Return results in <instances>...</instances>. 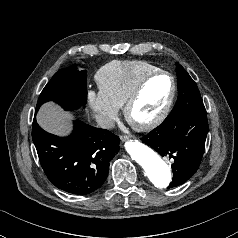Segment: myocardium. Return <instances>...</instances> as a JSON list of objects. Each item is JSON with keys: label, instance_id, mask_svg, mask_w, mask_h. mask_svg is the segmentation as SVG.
<instances>
[{"label": "myocardium", "instance_id": "1", "mask_svg": "<svg viewBox=\"0 0 238 238\" xmlns=\"http://www.w3.org/2000/svg\"><path fill=\"white\" fill-rule=\"evenodd\" d=\"M158 76H166L171 84V90L169 97L161 109V111L151 120L145 122V123H137L132 120L131 117V111L134 105L139 100L144 88L146 87L147 83L158 77ZM176 95V82L174 77L167 71L164 70H157L155 72H152L148 75H146L144 78H142L139 83L136 85L134 90L131 92L130 96L126 100L124 106H123V113L126 121L137 131L145 132L154 129L157 127L160 123L163 122V120L167 117V115L170 112V109L173 105L174 99Z\"/></svg>", "mask_w": 238, "mask_h": 238}]
</instances>
